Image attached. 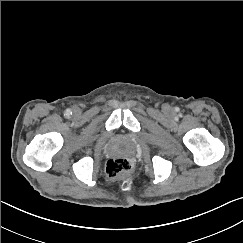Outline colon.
<instances>
[{
  "label": "colon",
  "instance_id": "colon-1",
  "mask_svg": "<svg viewBox=\"0 0 243 243\" xmlns=\"http://www.w3.org/2000/svg\"><path fill=\"white\" fill-rule=\"evenodd\" d=\"M131 170V163L127 158L114 157L106 164V173L110 178H119L126 175Z\"/></svg>",
  "mask_w": 243,
  "mask_h": 243
}]
</instances>
